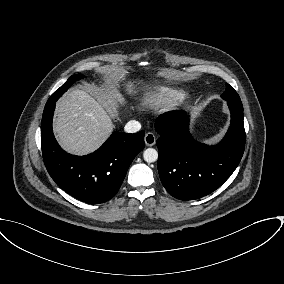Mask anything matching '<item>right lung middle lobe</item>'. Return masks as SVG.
<instances>
[{"mask_svg":"<svg viewBox=\"0 0 284 284\" xmlns=\"http://www.w3.org/2000/svg\"><path fill=\"white\" fill-rule=\"evenodd\" d=\"M82 78L81 74L73 75L69 77V79L59 88L57 89L51 97L48 99L46 105L50 104L52 100H58L59 97L62 96L64 92L67 91V89L76 81Z\"/></svg>","mask_w":284,"mask_h":284,"instance_id":"obj_1","label":"right lung middle lobe"}]
</instances>
